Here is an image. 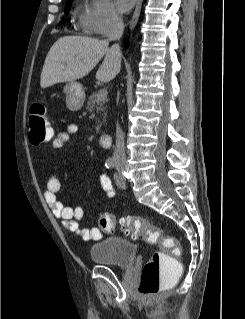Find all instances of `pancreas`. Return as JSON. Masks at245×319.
Listing matches in <instances>:
<instances>
[{
    "instance_id": "1",
    "label": "pancreas",
    "mask_w": 245,
    "mask_h": 319,
    "mask_svg": "<svg viewBox=\"0 0 245 319\" xmlns=\"http://www.w3.org/2000/svg\"><path fill=\"white\" fill-rule=\"evenodd\" d=\"M97 94L98 93H93L90 98H89V101L87 102V106H86V110L88 111H93L96 107L97 109V112L98 111H103L104 108H103V105L105 104V101H100V102H97ZM97 103V105H96ZM105 116H106V113L104 112ZM104 121V119H103ZM97 126H96V131H99L100 128L102 127V122L100 120L97 121Z\"/></svg>"
}]
</instances>
